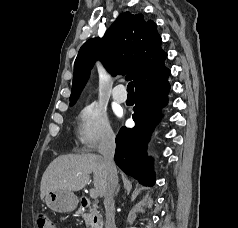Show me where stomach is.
Listing matches in <instances>:
<instances>
[{"mask_svg": "<svg viewBox=\"0 0 238 228\" xmlns=\"http://www.w3.org/2000/svg\"><path fill=\"white\" fill-rule=\"evenodd\" d=\"M45 203L55 212L67 213L77 207L78 199L70 191H50L45 196Z\"/></svg>", "mask_w": 238, "mask_h": 228, "instance_id": "stomach-1", "label": "stomach"}]
</instances>
